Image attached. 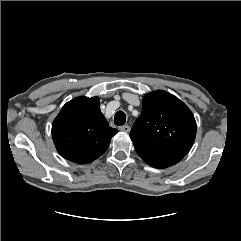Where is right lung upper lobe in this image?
I'll return each instance as SVG.
<instances>
[{"label":"right lung upper lobe","instance_id":"obj_1","mask_svg":"<svg viewBox=\"0 0 241 241\" xmlns=\"http://www.w3.org/2000/svg\"><path fill=\"white\" fill-rule=\"evenodd\" d=\"M116 133L101 113L98 97H78L66 103L52 125L58 153L78 164L101 156Z\"/></svg>","mask_w":241,"mask_h":241}]
</instances>
